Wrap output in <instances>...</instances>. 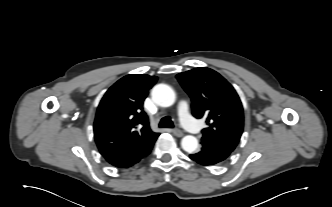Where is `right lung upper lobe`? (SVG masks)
<instances>
[{
  "label": "right lung upper lobe",
  "mask_w": 332,
  "mask_h": 207,
  "mask_svg": "<svg viewBox=\"0 0 332 207\" xmlns=\"http://www.w3.org/2000/svg\"><path fill=\"white\" fill-rule=\"evenodd\" d=\"M156 81V76L127 75L108 89L98 106L94 137L100 153L115 167L138 163L159 136L150 129L143 111L148 90Z\"/></svg>",
  "instance_id": "cb5924a9"
}]
</instances>
